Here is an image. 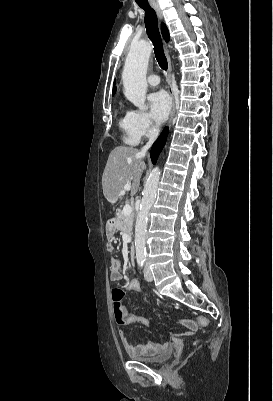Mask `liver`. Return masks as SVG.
<instances>
[{
  "label": "liver",
  "mask_w": 273,
  "mask_h": 401,
  "mask_svg": "<svg viewBox=\"0 0 273 401\" xmlns=\"http://www.w3.org/2000/svg\"><path fill=\"white\" fill-rule=\"evenodd\" d=\"M138 148L116 146L111 150L102 176L103 194L108 203H117L125 184H132L131 196L138 190L141 172L146 168ZM133 180V182H131Z\"/></svg>",
  "instance_id": "liver-1"
}]
</instances>
